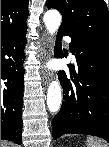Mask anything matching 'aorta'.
<instances>
[{"instance_id": "762f6f07", "label": "aorta", "mask_w": 109, "mask_h": 147, "mask_svg": "<svg viewBox=\"0 0 109 147\" xmlns=\"http://www.w3.org/2000/svg\"><path fill=\"white\" fill-rule=\"evenodd\" d=\"M62 21L61 14L55 9H50L44 14V23L47 31L54 34ZM62 91L58 80H54L49 85L47 91V106L51 113L58 112L61 106Z\"/></svg>"}]
</instances>
